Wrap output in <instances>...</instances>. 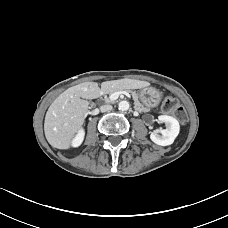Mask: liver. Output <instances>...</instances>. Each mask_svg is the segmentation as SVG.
Instances as JSON below:
<instances>
[{
    "instance_id": "1",
    "label": "liver",
    "mask_w": 228,
    "mask_h": 228,
    "mask_svg": "<svg viewBox=\"0 0 228 228\" xmlns=\"http://www.w3.org/2000/svg\"><path fill=\"white\" fill-rule=\"evenodd\" d=\"M126 83L132 89L150 85L140 80H113L103 82L101 89L96 82H84L68 88L50 105L44 121V132L48 143L57 149H69L76 134L82 128L89 109L87 99H95L102 93L119 90Z\"/></svg>"
}]
</instances>
